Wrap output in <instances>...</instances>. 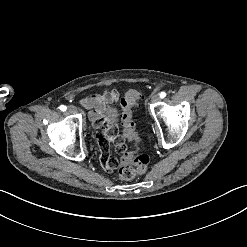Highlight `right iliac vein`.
<instances>
[{"mask_svg": "<svg viewBox=\"0 0 247 247\" xmlns=\"http://www.w3.org/2000/svg\"><path fill=\"white\" fill-rule=\"evenodd\" d=\"M68 112L71 114H75L77 112V109L73 105H70L68 107Z\"/></svg>", "mask_w": 247, "mask_h": 247, "instance_id": "right-iliac-vein-1", "label": "right iliac vein"}]
</instances>
